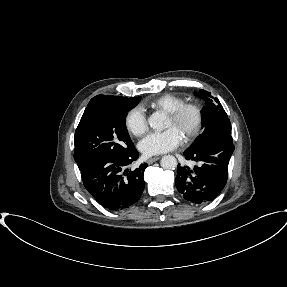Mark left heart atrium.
<instances>
[{
    "mask_svg": "<svg viewBox=\"0 0 287 287\" xmlns=\"http://www.w3.org/2000/svg\"><path fill=\"white\" fill-rule=\"evenodd\" d=\"M183 142L182 134L175 128L169 127L161 132H152L139 143L140 151L146 156L167 153Z\"/></svg>",
    "mask_w": 287,
    "mask_h": 287,
    "instance_id": "obj_1",
    "label": "left heart atrium"
}]
</instances>
